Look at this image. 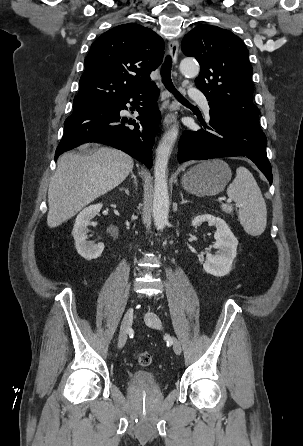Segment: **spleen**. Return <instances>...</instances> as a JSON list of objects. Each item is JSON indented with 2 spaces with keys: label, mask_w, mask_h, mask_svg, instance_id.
I'll return each mask as SVG.
<instances>
[{
  "label": "spleen",
  "mask_w": 303,
  "mask_h": 446,
  "mask_svg": "<svg viewBox=\"0 0 303 446\" xmlns=\"http://www.w3.org/2000/svg\"><path fill=\"white\" fill-rule=\"evenodd\" d=\"M227 195L239 206L238 218L245 232L251 236L261 235L267 224L266 204L253 174L246 167L237 168ZM221 209L226 213L233 212L227 204H223Z\"/></svg>",
  "instance_id": "spleen-1"
}]
</instances>
